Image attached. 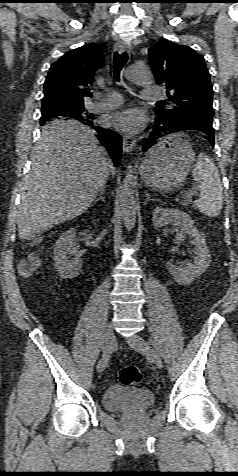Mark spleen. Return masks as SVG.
I'll return each mask as SVG.
<instances>
[{
	"instance_id": "1",
	"label": "spleen",
	"mask_w": 238,
	"mask_h": 476,
	"mask_svg": "<svg viewBox=\"0 0 238 476\" xmlns=\"http://www.w3.org/2000/svg\"><path fill=\"white\" fill-rule=\"evenodd\" d=\"M200 198L194 201L197 209L208 217H217L222 209L223 191L216 165L209 156L200 153L192 171Z\"/></svg>"
}]
</instances>
